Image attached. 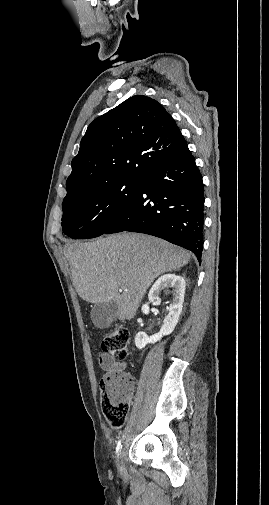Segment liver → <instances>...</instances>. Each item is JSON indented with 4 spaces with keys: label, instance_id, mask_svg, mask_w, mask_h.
Segmentation results:
<instances>
[{
    "label": "liver",
    "instance_id": "6515ba94",
    "mask_svg": "<svg viewBox=\"0 0 269 505\" xmlns=\"http://www.w3.org/2000/svg\"><path fill=\"white\" fill-rule=\"evenodd\" d=\"M64 255L80 298L93 304L115 302L121 321L135 316L155 278L181 268L191 258L165 240L127 232L66 244Z\"/></svg>",
    "mask_w": 269,
    "mask_h": 505
}]
</instances>
